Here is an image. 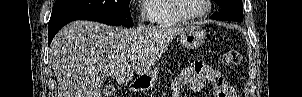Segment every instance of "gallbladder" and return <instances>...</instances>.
I'll return each instance as SVG.
<instances>
[{
    "label": "gallbladder",
    "mask_w": 302,
    "mask_h": 97,
    "mask_svg": "<svg viewBox=\"0 0 302 97\" xmlns=\"http://www.w3.org/2000/svg\"><path fill=\"white\" fill-rule=\"evenodd\" d=\"M114 91H115V87H113L112 85H107L103 91V94L106 97H109L114 93Z\"/></svg>",
    "instance_id": "gallbladder-1"
}]
</instances>
